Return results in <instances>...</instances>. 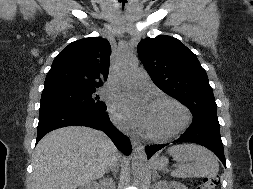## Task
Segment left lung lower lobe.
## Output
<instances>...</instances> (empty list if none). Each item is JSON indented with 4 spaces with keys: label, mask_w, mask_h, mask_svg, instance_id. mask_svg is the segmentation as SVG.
<instances>
[{
    "label": "left lung lower lobe",
    "mask_w": 253,
    "mask_h": 189,
    "mask_svg": "<svg viewBox=\"0 0 253 189\" xmlns=\"http://www.w3.org/2000/svg\"><path fill=\"white\" fill-rule=\"evenodd\" d=\"M219 122L206 120L193 121L189 128L180 138L174 142H193L201 144L212 150L226 167L223 144L220 136ZM168 144H156L145 147L147 158H150L155 152L162 149Z\"/></svg>",
    "instance_id": "0a47b994"
}]
</instances>
